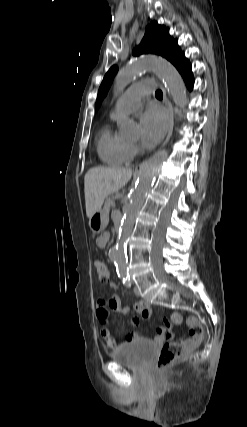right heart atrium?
Returning a JSON list of instances; mask_svg holds the SVG:
<instances>
[{
    "instance_id": "d8ad5b80",
    "label": "right heart atrium",
    "mask_w": 247,
    "mask_h": 427,
    "mask_svg": "<svg viewBox=\"0 0 247 427\" xmlns=\"http://www.w3.org/2000/svg\"><path fill=\"white\" fill-rule=\"evenodd\" d=\"M130 148H131V152H132V154H133V153H135V152H136V150H137V149H136V146H135V145H133V144H131V145H130Z\"/></svg>"
}]
</instances>
